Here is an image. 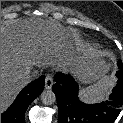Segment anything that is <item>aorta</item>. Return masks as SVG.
I'll use <instances>...</instances> for the list:
<instances>
[{
  "label": "aorta",
  "mask_w": 123,
  "mask_h": 123,
  "mask_svg": "<svg viewBox=\"0 0 123 123\" xmlns=\"http://www.w3.org/2000/svg\"><path fill=\"white\" fill-rule=\"evenodd\" d=\"M56 101V96L52 90H44L41 93V102L45 105H52Z\"/></svg>",
  "instance_id": "obj_1"
}]
</instances>
